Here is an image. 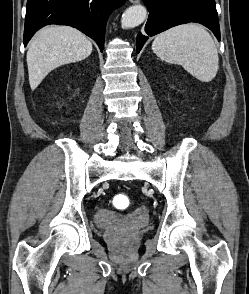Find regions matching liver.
<instances>
[{
    "label": "liver",
    "mask_w": 249,
    "mask_h": 294,
    "mask_svg": "<svg viewBox=\"0 0 249 294\" xmlns=\"http://www.w3.org/2000/svg\"><path fill=\"white\" fill-rule=\"evenodd\" d=\"M92 53V43L75 28L48 26L36 33L27 52L31 90L55 68L81 61Z\"/></svg>",
    "instance_id": "1"
}]
</instances>
